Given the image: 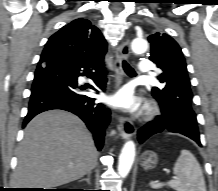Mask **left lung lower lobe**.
I'll list each match as a JSON object with an SVG mask.
<instances>
[{
  "label": "left lung lower lobe",
  "instance_id": "1",
  "mask_svg": "<svg viewBox=\"0 0 218 191\" xmlns=\"http://www.w3.org/2000/svg\"><path fill=\"white\" fill-rule=\"evenodd\" d=\"M160 106L162 114L157 116L155 121L149 122L147 125L139 129L138 140L140 143H143L151 135L162 132L166 129L169 132L181 133L193 139L199 146H201L198 129H194L190 125V120L196 116L190 107L181 104V106L176 110V115L171 116V114L166 113V110L161 103Z\"/></svg>",
  "mask_w": 218,
  "mask_h": 191
}]
</instances>
